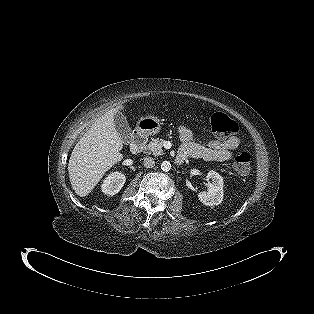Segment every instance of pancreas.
<instances>
[{
    "instance_id": "pancreas-1",
    "label": "pancreas",
    "mask_w": 314,
    "mask_h": 314,
    "mask_svg": "<svg viewBox=\"0 0 314 314\" xmlns=\"http://www.w3.org/2000/svg\"><path fill=\"white\" fill-rule=\"evenodd\" d=\"M163 143H164L163 139H159V138L152 139L144 147L145 153L152 154L154 156L162 155L163 154V150H162Z\"/></svg>"
}]
</instances>
